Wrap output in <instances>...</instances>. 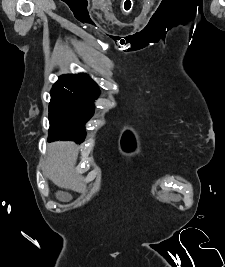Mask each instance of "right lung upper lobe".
Returning <instances> with one entry per match:
<instances>
[{"instance_id":"obj_1","label":"right lung upper lobe","mask_w":225,"mask_h":267,"mask_svg":"<svg viewBox=\"0 0 225 267\" xmlns=\"http://www.w3.org/2000/svg\"><path fill=\"white\" fill-rule=\"evenodd\" d=\"M54 86L80 92L91 101L96 99L100 93L98 85L86 74L62 75Z\"/></svg>"}]
</instances>
